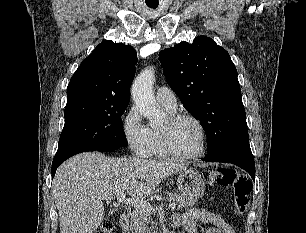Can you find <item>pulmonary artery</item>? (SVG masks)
Returning a JSON list of instances; mask_svg holds the SVG:
<instances>
[{
  "instance_id": "e3ab8cb5",
  "label": "pulmonary artery",
  "mask_w": 306,
  "mask_h": 233,
  "mask_svg": "<svg viewBox=\"0 0 306 233\" xmlns=\"http://www.w3.org/2000/svg\"><path fill=\"white\" fill-rule=\"evenodd\" d=\"M156 99L161 106L169 110H175L177 107V100L175 94L170 88L166 86L158 88L156 92Z\"/></svg>"
}]
</instances>
